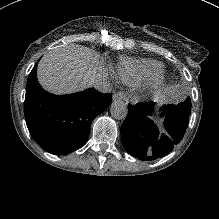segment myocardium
Returning a JSON list of instances; mask_svg holds the SVG:
<instances>
[{
    "label": "myocardium",
    "mask_w": 219,
    "mask_h": 219,
    "mask_svg": "<svg viewBox=\"0 0 219 219\" xmlns=\"http://www.w3.org/2000/svg\"><path fill=\"white\" fill-rule=\"evenodd\" d=\"M165 71L161 69L154 73L146 82L142 83L136 90L139 96H150L157 92L164 84Z\"/></svg>",
    "instance_id": "obj_1"
}]
</instances>
